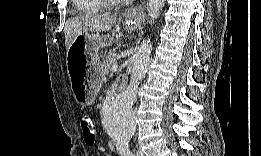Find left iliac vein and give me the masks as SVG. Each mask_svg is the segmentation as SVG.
<instances>
[{
    "instance_id": "1",
    "label": "left iliac vein",
    "mask_w": 261,
    "mask_h": 156,
    "mask_svg": "<svg viewBox=\"0 0 261 156\" xmlns=\"http://www.w3.org/2000/svg\"><path fill=\"white\" fill-rule=\"evenodd\" d=\"M136 155H137V156H144V153H143V151H141L140 149H138V150L136 151Z\"/></svg>"
}]
</instances>
